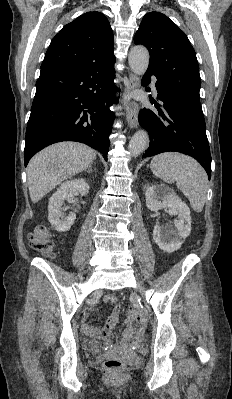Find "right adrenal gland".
<instances>
[{"instance_id": "right-adrenal-gland-1", "label": "right adrenal gland", "mask_w": 232, "mask_h": 399, "mask_svg": "<svg viewBox=\"0 0 232 399\" xmlns=\"http://www.w3.org/2000/svg\"><path fill=\"white\" fill-rule=\"evenodd\" d=\"M92 166H93V164H90V166H88V168H86V170H84V172H88V174H91Z\"/></svg>"}]
</instances>
